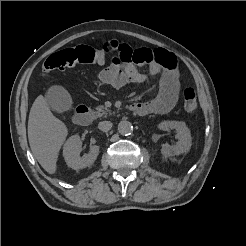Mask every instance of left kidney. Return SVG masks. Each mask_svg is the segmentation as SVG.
Returning a JSON list of instances; mask_svg holds the SVG:
<instances>
[{
	"label": "left kidney",
	"instance_id": "left-kidney-1",
	"mask_svg": "<svg viewBox=\"0 0 246 246\" xmlns=\"http://www.w3.org/2000/svg\"><path fill=\"white\" fill-rule=\"evenodd\" d=\"M158 128L165 130L167 128L177 131V142L174 145L163 144L161 153L165 157L181 155L187 153L192 145V137L189 128L184 122L179 121H163L158 125Z\"/></svg>",
	"mask_w": 246,
	"mask_h": 246
}]
</instances>
